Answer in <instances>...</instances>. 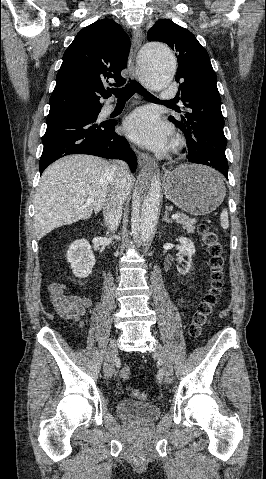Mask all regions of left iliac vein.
Masks as SVG:
<instances>
[{
  "mask_svg": "<svg viewBox=\"0 0 266 479\" xmlns=\"http://www.w3.org/2000/svg\"><path fill=\"white\" fill-rule=\"evenodd\" d=\"M153 354L162 362V374L165 382L168 384L171 383L173 379V367L166 353V350L161 345H157V347L153 351Z\"/></svg>",
  "mask_w": 266,
  "mask_h": 479,
  "instance_id": "left-iliac-vein-1",
  "label": "left iliac vein"
}]
</instances>
